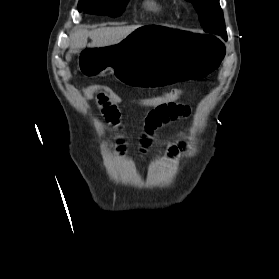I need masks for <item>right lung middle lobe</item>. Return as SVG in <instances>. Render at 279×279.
<instances>
[{"instance_id":"right-lung-middle-lobe-1","label":"right lung middle lobe","mask_w":279,"mask_h":279,"mask_svg":"<svg viewBox=\"0 0 279 279\" xmlns=\"http://www.w3.org/2000/svg\"><path fill=\"white\" fill-rule=\"evenodd\" d=\"M129 0H79L78 10L87 14L120 16Z\"/></svg>"}]
</instances>
